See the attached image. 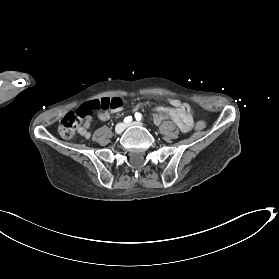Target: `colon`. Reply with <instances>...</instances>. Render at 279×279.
I'll return each instance as SVG.
<instances>
[{"mask_svg":"<svg viewBox=\"0 0 279 279\" xmlns=\"http://www.w3.org/2000/svg\"><path fill=\"white\" fill-rule=\"evenodd\" d=\"M123 104L124 101L120 97L103 98L83 103L75 111L68 112L60 120L59 132L62 137L71 139L76 134L81 120L89 117L92 112L98 110H116L122 108ZM180 104L190 114L197 111V106L191 102L180 101ZM205 127L206 123L202 120L195 123V128L198 131L204 130Z\"/></svg>","mask_w":279,"mask_h":279,"instance_id":"obj_1","label":"colon"}]
</instances>
